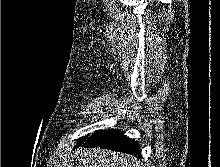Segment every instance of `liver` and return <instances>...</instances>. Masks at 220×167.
Listing matches in <instances>:
<instances>
[{
	"label": "liver",
	"instance_id": "obj_1",
	"mask_svg": "<svg viewBox=\"0 0 220 167\" xmlns=\"http://www.w3.org/2000/svg\"><path fill=\"white\" fill-rule=\"evenodd\" d=\"M76 167H141L132 156L100 148L79 149Z\"/></svg>",
	"mask_w": 220,
	"mask_h": 167
}]
</instances>
